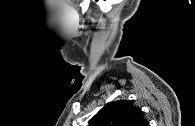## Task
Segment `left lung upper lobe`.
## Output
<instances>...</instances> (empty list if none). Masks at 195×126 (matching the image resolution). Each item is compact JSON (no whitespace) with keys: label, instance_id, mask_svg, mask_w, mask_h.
Here are the masks:
<instances>
[{"label":"left lung upper lobe","instance_id":"obj_1","mask_svg":"<svg viewBox=\"0 0 195 126\" xmlns=\"http://www.w3.org/2000/svg\"><path fill=\"white\" fill-rule=\"evenodd\" d=\"M89 126H148L140 108L129 100L108 103L89 121Z\"/></svg>","mask_w":195,"mask_h":126}]
</instances>
